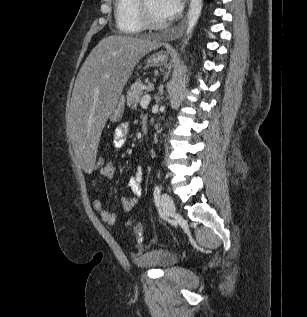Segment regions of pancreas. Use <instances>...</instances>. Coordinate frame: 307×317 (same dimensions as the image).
<instances>
[{"mask_svg":"<svg viewBox=\"0 0 307 317\" xmlns=\"http://www.w3.org/2000/svg\"><path fill=\"white\" fill-rule=\"evenodd\" d=\"M143 87V83L142 81H136L135 83H133L129 90L127 91V106L129 108L132 109H136L137 105L142 97V95L144 94V91L142 89Z\"/></svg>","mask_w":307,"mask_h":317,"instance_id":"1","label":"pancreas"}]
</instances>
